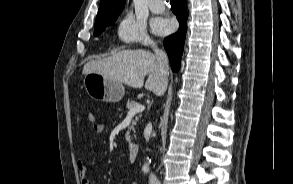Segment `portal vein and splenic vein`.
Instances as JSON below:
<instances>
[{"label":"portal vein and splenic vein","mask_w":293,"mask_h":184,"mask_svg":"<svg viewBox=\"0 0 293 184\" xmlns=\"http://www.w3.org/2000/svg\"><path fill=\"white\" fill-rule=\"evenodd\" d=\"M145 107L144 105H137L136 107L132 108L129 112V114H135L144 111Z\"/></svg>","instance_id":"1"}]
</instances>
